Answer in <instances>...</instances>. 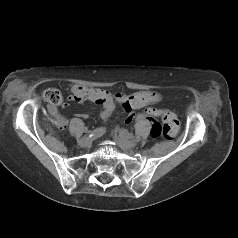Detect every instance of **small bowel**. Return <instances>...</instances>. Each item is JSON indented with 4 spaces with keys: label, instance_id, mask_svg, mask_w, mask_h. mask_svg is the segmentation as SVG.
<instances>
[{
    "label": "small bowel",
    "instance_id": "small-bowel-1",
    "mask_svg": "<svg viewBox=\"0 0 238 238\" xmlns=\"http://www.w3.org/2000/svg\"><path fill=\"white\" fill-rule=\"evenodd\" d=\"M69 99L71 101L82 103L84 101L94 102L102 106L101 119L107 121L115 108V99L113 95L103 89L84 87L74 84L71 86ZM116 99L122 104L125 111L128 113L126 123H131L134 120L132 110L143 108L149 104H154L159 101L160 96L154 92H136L129 96L117 94ZM49 112L54 118V123L59 128H65L68 121L63 116L59 115L56 107H49ZM79 117L87 118V114H78Z\"/></svg>",
    "mask_w": 238,
    "mask_h": 238
}]
</instances>
